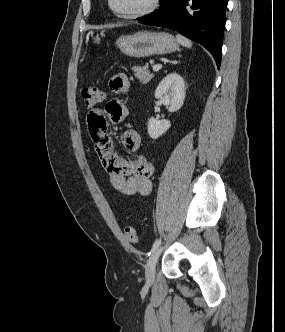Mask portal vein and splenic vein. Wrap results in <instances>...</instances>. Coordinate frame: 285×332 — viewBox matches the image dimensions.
Instances as JSON below:
<instances>
[{
  "label": "portal vein and splenic vein",
  "mask_w": 285,
  "mask_h": 332,
  "mask_svg": "<svg viewBox=\"0 0 285 332\" xmlns=\"http://www.w3.org/2000/svg\"><path fill=\"white\" fill-rule=\"evenodd\" d=\"M162 68L161 64H156L153 66V71H159Z\"/></svg>",
  "instance_id": "1"
}]
</instances>
